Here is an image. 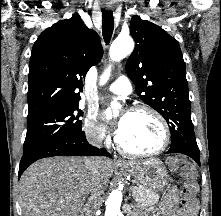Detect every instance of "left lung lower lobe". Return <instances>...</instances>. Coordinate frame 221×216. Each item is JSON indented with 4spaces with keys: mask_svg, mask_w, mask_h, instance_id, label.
<instances>
[{
    "mask_svg": "<svg viewBox=\"0 0 221 216\" xmlns=\"http://www.w3.org/2000/svg\"><path fill=\"white\" fill-rule=\"evenodd\" d=\"M166 153H182L194 159L200 165V152H192L182 148H170Z\"/></svg>",
    "mask_w": 221,
    "mask_h": 216,
    "instance_id": "left-lung-lower-lobe-1",
    "label": "left lung lower lobe"
}]
</instances>
